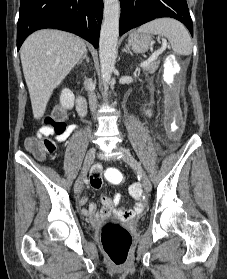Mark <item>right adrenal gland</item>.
I'll use <instances>...</instances> for the list:
<instances>
[{
    "label": "right adrenal gland",
    "mask_w": 227,
    "mask_h": 279,
    "mask_svg": "<svg viewBox=\"0 0 227 279\" xmlns=\"http://www.w3.org/2000/svg\"><path fill=\"white\" fill-rule=\"evenodd\" d=\"M87 53H88V51L86 49L83 57L78 61L77 65L81 64L84 60H86V62L89 63L90 59H89Z\"/></svg>",
    "instance_id": "1"
}]
</instances>
